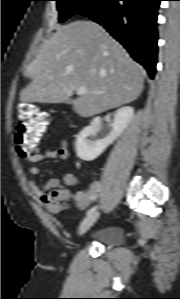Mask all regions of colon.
<instances>
[{
  "mask_svg": "<svg viewBox=\"0 0 180 299\" xmlns=\"http://www.w3.org/2000/svg\"><path fill=\"white\" fill-rule=\"evenodd\" d=\"M16 121V147L19 155L28 160L35 155L37 141L48 125V115L36 105L24 103L18 110ZM64 191L63 188L57 190L61 196L53 197V200L56 202L60 199L66 202L67 197L63 196Z\"/></svg>",
  "mask_w": 180,
  "mask_h": 299,
  "instance_id": "obj_1",
  "label": "colon"
}]
</instances>
